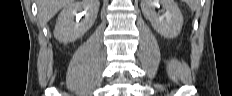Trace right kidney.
I'll return each mask as SVG.
<instances>
[{
	"label": "right kidney",
	"mask_w": 232,
	"mask_h": 96,
	"mask_svg": "<svg viewBox=\"0 0 232 96\" xmlns=\"http://www.w3.org/2000/svg\"><path fill=\"white\" fill-rule=\"evenodd\" d=\"M98 10L99 0H72L58 16L54 37L62 43L79 39L94 24ZM83 15L85 18L79 22ZM74 16H76V22Z\"/></svg>",
	"instance_id": "ca27d5eb"
}]
</instances>
